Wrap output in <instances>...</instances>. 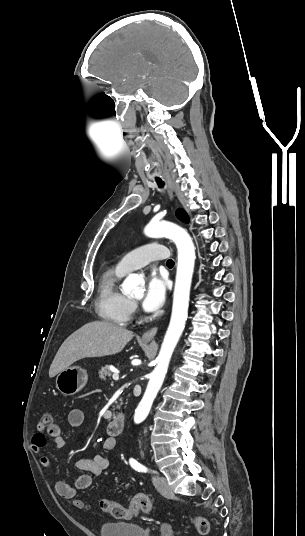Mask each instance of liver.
Listing matches in <instances>:
<instances>
[{
    "label": "liver",
    "mask_w": 305,
    "mask_h": 536,
    "mask_svg": "<svg viewBox=\"0 0 305 536\" xmlns=\"http://www.w3.org/2000/svg\"><path fill=\"white\" fill-rule=\"evenodd\" d=\"M133 338V332L108 324L90 322L71 334L59 348L49 370V378L67 370L71 364L82 358H100L118 354Z\"/></svg>",
    "instance_id": "1"
}]
</instances>
